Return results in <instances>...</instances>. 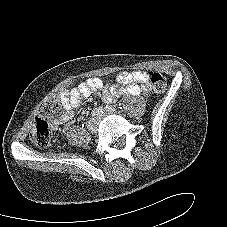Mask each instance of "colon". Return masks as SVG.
Wrapping results in <instances>:
<instances>
[{
  "label": "colon",
  "mask_w": 227,
  "mask_h": 227,
  "mask_svg": "<svg viewBox=\"0 0 227 227\" xmlns=\"http://www.w3.org/2000/svg\"><path fill=\"white\" fill-rule=\"evenodd\" d=\"M152 89L156 93H162L167 88V79L157 72L148 74ZM60 102L57 98L51 97L44 100L40 105L41 115L34 120L33 128L30 132L32 142L39 147H48L51 143L52 129L45 116L52 115L59 110Z\"/></svg>",
  "instance_id": "colon-1"
}]
</instances>
